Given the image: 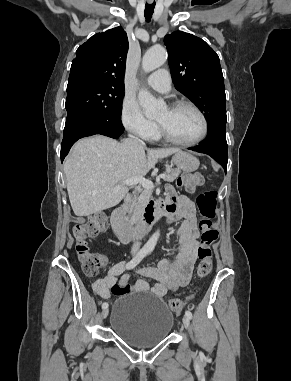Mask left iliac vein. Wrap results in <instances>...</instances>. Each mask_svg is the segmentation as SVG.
Returning a JSON list of instances; mask_svg holds the SVG:
<instances>
[{
	"mask_svg": "<svg viewBox=\"0 0 291 381\" xmlns=\"http://www.w3.org/2000/svg\"><path fill=\"white\" fill-rule=\"evenodd\" d=\"M182 321H183L184 327L186 329H189L190 328V319L187 316H184Z\"/></svg>",
	"mask_w": 291,
	"mask_h": 381,
	"instance_id": "obj_1",
	"label": "left iliac vein"
}]
</instances>
